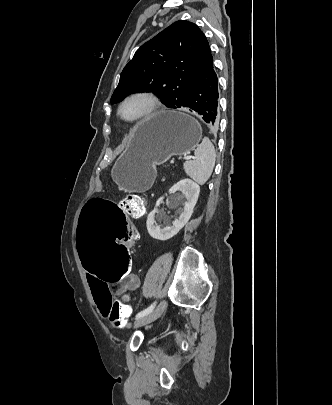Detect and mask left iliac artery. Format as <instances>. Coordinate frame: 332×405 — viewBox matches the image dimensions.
I'll return each mask as SVG.
<instances>
[{"mask_svg":"<svg viewBox=\"0 0 332 405\" xmlns=\"http://www.w3.org/2000/svg\"><path fill=\"white\" fill-rule=\"evenodd\" d=\"M155 306H156V302H153L148 308H146V309L140 311V312L136 315V318L144 317V316L150 314V313L153 311V309L155 308Z\"/></svg>","mask_w":332,"mask_h":405,"instance_id":"obj_1","label":"left iliac artery"}]
</instances>
